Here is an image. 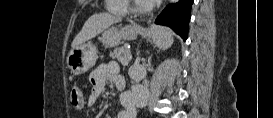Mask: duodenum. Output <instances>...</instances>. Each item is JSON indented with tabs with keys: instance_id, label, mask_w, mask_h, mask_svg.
<instances>
[{
	"instance_id": "duodenum-1",
	"label": "duodenum",
	"mask_w": 273,
	"mask_h": 118,
	"mask_svg": "<svg viewBox=\"0 0 273 118\" xmlns=\"http://www.w3.org/2000/svg\"><path fill=\"white\" fill-rule=\"evenodd\" d=\"M115 84H116V87L120 90L124 88V80L123 81H116Z\"/></svg>"
}]
</instances>
